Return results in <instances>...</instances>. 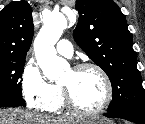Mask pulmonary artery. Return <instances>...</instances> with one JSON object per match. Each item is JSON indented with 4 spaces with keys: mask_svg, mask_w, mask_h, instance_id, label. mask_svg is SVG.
<instances>
[{
    "mask_svg": "<svg viewBox=\"0 0 145 124\" xmlns=\"http://www.w3.org/2000/svg\"><path fill=\"white\" fill-rule=\"evenodd\" d=\"M56 50L60 55L68 58L72 57L73 55V46L66 39H62L58 42V44L56 45Z\"/></svg>",
    "mask_w": 145,
    "mask_h": 124,
    "instance_id": "1",
    "label": "pulmonary artery"
}]
</instances>
